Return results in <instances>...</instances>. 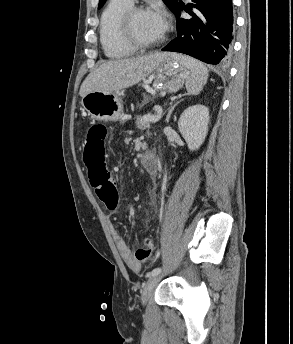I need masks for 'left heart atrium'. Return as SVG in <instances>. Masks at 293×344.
Instances as JSON below:
<instances>
[{
	"label": "left heart atrium",
	"mask_w": 293,
	"mask_h": 344,
	"mask_svg": "<svg viewBox=\"0 0 293 344\" xmlns=\"http://www.w3.org/2000/svg\"><path fill=\"white\" fill-rule=\"evenodd\" d=\"M150 14L159 31L164 33L168 26L165 13L161 9L157 8L150 12Z\"/></svg>",
	"instance_id": "39dd6f15"
}]
</instances>
